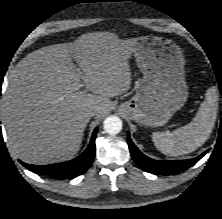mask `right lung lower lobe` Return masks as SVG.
Listing matches in <instances>:
<instances>
[{"mask_svg":"<svg viewBox=\"0 0 222 219\" xmlns=\"http://www.w3.org/2000/svg\"><path fill=\"white\" fill-rule=\"evenodd\" d=\"M98 128H96L92 134V138L90 141V144L88 145L87 149L77 158L62 162V163H56V164H50V165H30L26 164L22 161V165H24L27 169L47 175L56 179H71L75 178L84 172L90 167L92 164L95 152H96V145H95V139L97 134Z\"/></svg>","mask_w":222,"mask_h":219,"instance_id":"1","label":"right lung lower lobe"}]
</instances>
